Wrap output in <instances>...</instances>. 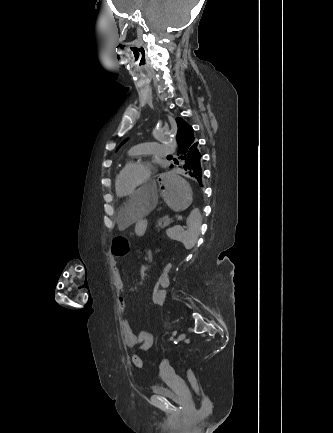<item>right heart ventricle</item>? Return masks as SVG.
<instances>
[{
    "instance_id": "right-heart-ventricle-1",
    "label": "right heart ventricle",
    "mask_w": 333,
    "mask_h": 433,
    "mask_svg": "<svg viewBox=\"0 0 333 433\" xmlns=\"http://www.w3.org/2000/svg\"><path fill=\"white\" fill-rule=\"evenodd\" d=\"M118 194V193H117ZM119 195V194H118ZM120 197H124L123 195H119Z\"/></svg>"
}]
</instances>
